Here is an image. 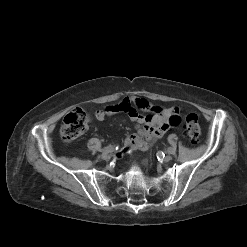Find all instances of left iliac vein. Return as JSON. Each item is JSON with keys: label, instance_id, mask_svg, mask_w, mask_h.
<instances>
[{"label": "left iliac vein", "instance_id": "obj_1", "mask_svg": "<svg viewBox=\"0 0 247 247\" xmlns=\"http://www.w3.org/2000/svg\"><path fill=\"white\" fill-rule=\"evenodd\" d=\"M172 160V156L171 155H166L163 159L164 162H169Z\"/></svg>", "mask_w": 247, "mask_h": 247}]
</instances>
